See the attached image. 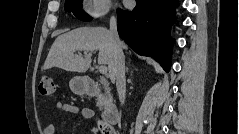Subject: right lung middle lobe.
<instances>
[{"label":"right lung middle lobe","instance_id":"right-lung-middle-lobe-1","mask_svg":"<svg viewBox=\"0 0 239 134\" xmlns=\"http://www.w3.org/2000/svg\"><path fill=\"white\" fill-rule=\"evenodd\" d=\"M65 10L72 11L77 18L83 21L92 20V18L82 10L81 0H66Z\"/></svg>","mask_w":239,"mask_h":134}]
</instances>
